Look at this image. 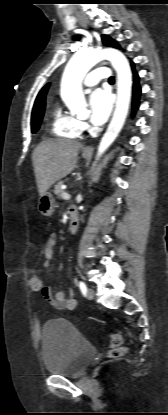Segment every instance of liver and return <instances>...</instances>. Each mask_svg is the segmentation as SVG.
<instances>
[{"instance_id": "6515ba94", "label": "liver", "mask_w": 168, "mask_h": 415, "mask_svg": "<svg viewBox=\"0 0 168 415\" xmlns=\"http://www.w3.org/2000/svg\"><path fill=\"white\" fill-rule=\"evenodd\" d=\"M81 147L77 141L48 139L35 148L32 161L40 196L74 170Z\"/></svg>"}]
</instances>
